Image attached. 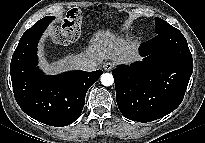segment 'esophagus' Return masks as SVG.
I'll return each mask as SVG.
<instances>
[{
    "label": "esophagus",
    "mask_w": 205,
    "mask_h": 143,
    "mask_svg": "<svg viewBox=\"0 0 205 143\" xmlns=\"http://www.w3.org/2000/svg\"><path fill=\"white\" fill-rule=\"evenodd\" d=\"M114 67V64L112 62H106L104 65H103V68L105 71H111Z\"/></svg>",
    "instance_id": "1"
}]
</instances>
